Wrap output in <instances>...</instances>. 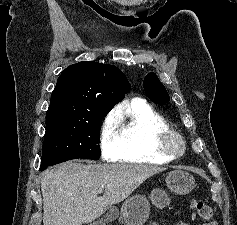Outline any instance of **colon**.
I'll list each match as a JSON object with an SVG mask.
<instances>
[{
  "label": "colon",
  "instance_id": "5ec220e1",
  "mask_svg": "<svg viewBox=\"0 0 237 225\" xmlns=\"http://www.w3.org/2000/svg\"><path fill=\"white\" fill-rule=\"evenodd\" d=\"M190 206L195 209L201 217V225H218L213 218V212L209 205L200 201L192 200Z\"/></svg>",
  "mask_w": 237,
  "mask_h": 225
}]
</instances>
